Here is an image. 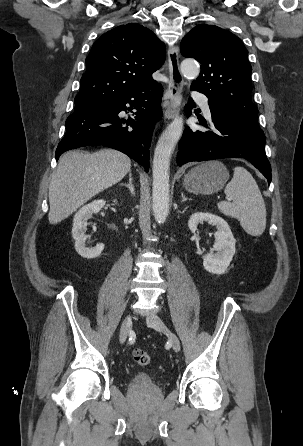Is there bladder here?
I'll return each mask as SVG.
<instances>
[{"label":"bladder","instance_id":"obj_1","mask_svg":"<svg viewBox=\"0 0 303 446\" xmlns=\"http://www.w3.org/2000/svg\"><path fill=\"white\" fill-rule=\"evenodd\" d=\"M129 384L133 387H153L156 385L154 377L145 372H137L132 375Z\"/></svg>","mask_w":303,"mask_h":446}]
</instances>
